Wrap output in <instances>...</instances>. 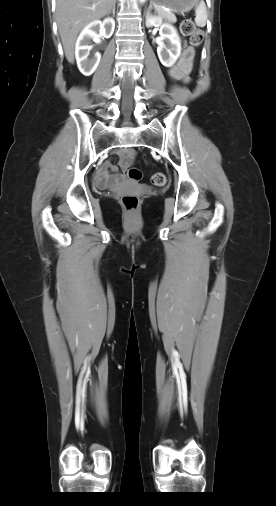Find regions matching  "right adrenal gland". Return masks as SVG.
Listing matches in <instances>:
<instances>
[{
  "label": "right adrenal gland",
  "mask_w": 276,
  "mask_h": 506,
  "mask_svg": "<svg viewBox=\"0 0 276 506\" xmlns=\"http://www.w3.org/2000/svg\"><path fill=\"white\" fill-rule=\"evenodd\" d=\"M115 4L116 2L114 3L113 7H112V13H113V16H115Z\"/></svg>",
  "instance_id": "1"
}]
</instances>
